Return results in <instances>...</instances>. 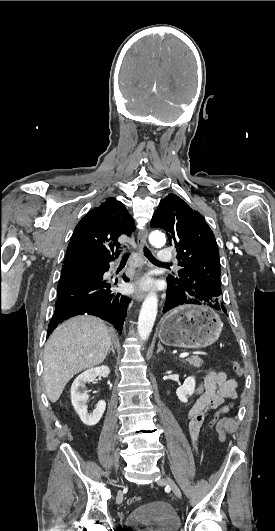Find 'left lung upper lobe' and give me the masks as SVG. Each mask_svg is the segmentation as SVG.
<instances>
[{"instance_id":"left-lung-upper-lobe-1","label":"left lung upper lobe","mask_w":275,"mask_h":531,"mask_svg":"<svg viewBox=\"0 0 275 531\" xmlns=\"http://www.w3.org/2000/svg\"><path fill=\"white\" fill-rule=\"evenodd\" d=\"M163 228L176 248L178 274L169 275L170 299L177 304H199L225 310L220 302V261L214 234L199 212L175 194L160 203L150 222Z\"/></svg>"}]
</instances>
